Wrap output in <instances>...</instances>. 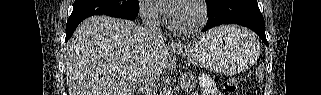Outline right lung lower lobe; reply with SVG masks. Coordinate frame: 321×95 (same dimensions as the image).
I'll use <instances>...</instances> for the list:
<instances>
[{"label":"right lung lower lobe","mask_w":321,"mask_h":95,"mask_svg":"<svg viewBox=\"0 0 321 95\" xmlns=\"http://www.w3.org/2000/svg\"><path fill=\"white\" fill-rule=\"evenodd\" d=\"M93 15H102V14H100V13H84V14L71 15L67 21V24H66L65 41H68V39L72 36L73 32L75 31L78 24L81 23V21H83L85 18L93 16ZM103 15H108L111 17H117V18H123V19H129V20H133L137 17V13L136 14H103Z\"/></svg>","instance_id":"1"}]
</instances>
